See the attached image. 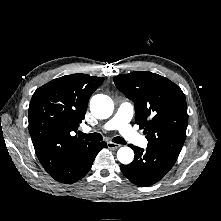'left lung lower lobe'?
<instances>
[{
    "mask_svg": "<svg viewBox=\"0 0 221 221\" xmlns=\"http://www.w3.org/2000/svg\"><path fill=\"white\" fill-rule=\"evenodd\" d=\"M135 153L133 162L120 165L121 171L134 184L149 186L166 175L177 160V157L155 148L144 149L129 145Z\"/></svg>",
    "mask_w": 221,
    "mask_h": 221,
    "instance_id": "1",
    "label": "left lung lower lobe"
}]
</instances>
